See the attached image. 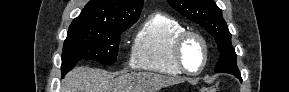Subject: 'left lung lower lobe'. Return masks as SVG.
I'll return each mask as SVG.
<instances>
[{
  "label": "left lung lower lobe",
  "mask_w": 289,
  "mask_h": 92,
  "mask_svg": "<svg viewBox=\"0 0 289 92\" xmlns=\"http://www.w3.org/2000/svg\"><path fill=\"white\" fill-rule=\"evenodd\" d=\"M236 77L242 81L240 74L236 75Z\"/></svg>",
  "instance_id": "1"
}]
</instances>
